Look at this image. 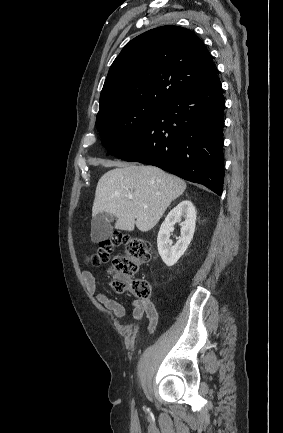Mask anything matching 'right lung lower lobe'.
<instances>
[{
	"mask_svg": "<svg viewBox=\"0 0 283 433\" xmlns=\"http://www.w3.org/2000/svg\"><path fill=\"white\" fill-rule=\"evenodd\" d=\"M223 122L224 97L217 78L165 104L132 143L114 156L157 166L221 195Z\"/></svg>",
	"mask_w": 283,
	"mask_h": 433,
	"instance_id": "1",
	"label": "right lung lower lobe"
}]
</instances>
